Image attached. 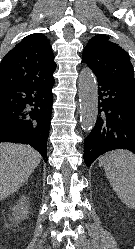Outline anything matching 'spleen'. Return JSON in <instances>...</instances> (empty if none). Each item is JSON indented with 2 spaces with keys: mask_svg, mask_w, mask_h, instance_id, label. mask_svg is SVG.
Listing matches in <instances>:
<instances>
[{
  "mask_svg": "<svg viewBox=\"0 0 135 249\" xmlns=\"http://www.w3.org/2000/svg\"><path fill=\"white\" fill-rule=\"evenodd\" d=\"M106 176L121 202L135 209V155L126 150H116L102 156Z\"/></svg>",
  "mask_w": 135,
  "mask_h": 249,
  "instance_id": "1",
  "label": "spleen"
}]
</instances>
